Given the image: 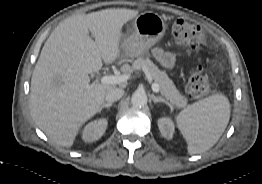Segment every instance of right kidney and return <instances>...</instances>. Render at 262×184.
<instances>
[{"label": "right kidney", "instance_id": "ca27d5eb", "mask_svg": "<svg viewBox=\"0 0 262 184\" xmlns=\"http://www.w3.org/2000/svg\"><path fill=\"white\" fill-rule=\"evenodd\" d=\"M107 128L106 119H97L88 123L82 131V139L85 142H93L101 138Z\"/></svg>", "mask_w": 262, "mask_h": 184}]
</instances>
